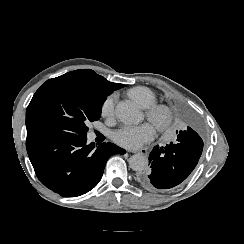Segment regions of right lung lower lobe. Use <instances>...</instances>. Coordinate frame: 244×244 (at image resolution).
Here are the masks:
<instances>
[{
    "label": "right lung lower lobe",
    "mask_w": 244,
    "mask_h": 244,
    "mask_svg": "<svg viewBox=\"0 0 244 244\" xmlns=\"http://www.w3.org/2000/svg\"><path fill=\"white\" fill-rule=\"evenodd\" d=\"M26 148L38 179L65 197L82 195L100 181L113 154L126 151L110 142L87 144V136L74 137L52 132L27 133Z\"/></svg>",
    "instance_id": "obj_1"
}]
</instances>
